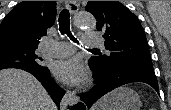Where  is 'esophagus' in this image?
<instances>
[{"label": "esophagus", "instance_id": "esophagus-1", "mask_svg": "<svg viewBox=\"0 0 171 110\" xmlns=\"http://www.w3.org/2000/svg\"><path fill=\"white\" fill-rule=\"evenodd\" d=\"M66 8L75 15L79 9V4L76 1H66ZM79 103V97L74 91L67 90L65 96L61 101L62 110H74L76 105Z\"/></svg>", "mask_w": 171, "mask_h": 110}]
</instances>
